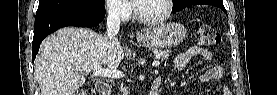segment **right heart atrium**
<instances>
[{"mask_svg": "<svg viewBox=\"0 0 277 95\" xmlns=\"http://www.w3.org/2000/svg\"><path fill=\"white\" fill-rule=\"evenodd\" d=\"M105 6L113 20L123 21L130 15V8L123 0H106Z\"/></svg>", "mask_w": 277, "mask_h": 95, "instance_id": "right-heart-atrium-1", "label": "right heart atrium"}]
</instances>
